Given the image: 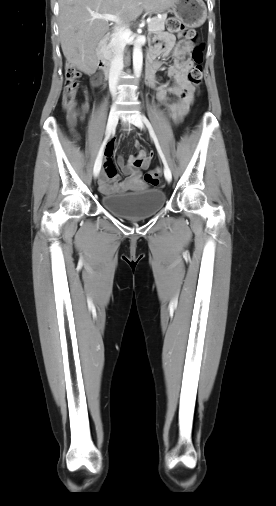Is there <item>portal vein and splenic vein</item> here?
Segmentation results:
<instances>
[{"label": "portal vein and splenic vein", "instance_id": "1", "mask_svg": "<svg viewBox=\"0 0 276 506\" xmlns=\"http://www.w3.org/2000/svg\"><path fill=\"white\" fill-rule=\"evenodd\" d=\"M91 16L93 18H97V19H104L106 21H113V22H119V17L116 16V15H108V14H105V15H100V14H95V13H92ZM148 24L151 22V19H148L147 20Z\"/></svg>", "mask_w": 276, "mask_h": 506}]
</instances>
